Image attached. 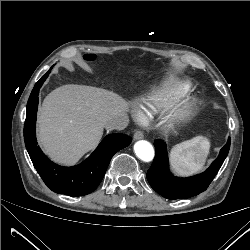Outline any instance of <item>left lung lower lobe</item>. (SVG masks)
Masks as SVG:
<instances>
[{
  "mask_svg": "<svg viewBox=\"0 0 250 250\" xmlns=\"http://www.w3.org/2000/svg\"><path fill=\"white\" fill-rule=\"evenodd\" d=\"M154 144L156 153L153 164L147 171L148 182L163 197L178 199L196 196L208 188L229 152L230 138L205 172L187 178L175 177L169 173L166 144L160 140H156Z\"/></svg>",
  "mask_w": 250,
  "mask_h": 250,
  "instance_id": "0a47b994",
  "label": "left lung lower lobe"
}]
</instances>
